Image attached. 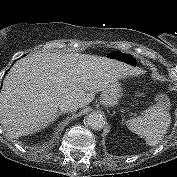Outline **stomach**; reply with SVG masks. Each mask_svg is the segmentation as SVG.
<instances>
[{
	"mask_svg": "<svg viewBox=\"0 0 177 177\" xmlns=\"http://www.w3.org/2000/svg\"><path fill=\"white\" fill-rule=\"evenodd\" d=\"M112 59H116L127 63L133 67L139 63V58L134 53L126 51H114L109 55ZM121 97V84L116 82L106 88L101 94V102L107 107H113L118 104Z\"/></svg>",
	"mask_w": 177,
	"mask_h": 177,
	"instance_id": "1",
	"label": "stomach"
}]
</instances>
